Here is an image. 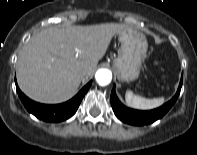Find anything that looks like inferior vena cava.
<instances>
[{
    "label": "inferior vena cava",
    "instance_id": "obj_1",
    "mask_svg": "<svg viewBox=\"0 0 197 155\" xmlns=\"http://www.w3.org/2000/svg\"><path fill=\"white\" fill-rule=\"evenodd\" d=\"M80 74H81L82 76H85V75H86V70H82V71L80 72Z\"/></svg>",
    "mask_w": 197,
    "mask_h": 155
}]
</instances>
